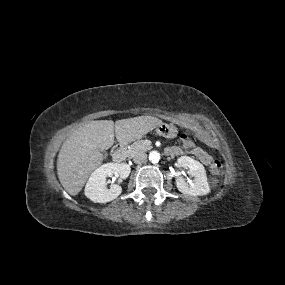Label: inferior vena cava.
Wrapping results in <instances>:
<instances>
[{"instance_id":"obj_1","label":"inferior vena cava","mask_w":285,"mask_h":285,"mask_svg":"<svg viewBox=\"0 0 285 285\" xmlns=\"http://www.w3.org/2000/svg\"><path fill=\"white\" fill-rule=\"evenodd\" d=\"M146 159H147V155L145 153H137L133 157L134 163H137V164L145 162Z\"/></svg>"}]
</instances>
